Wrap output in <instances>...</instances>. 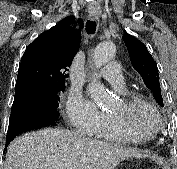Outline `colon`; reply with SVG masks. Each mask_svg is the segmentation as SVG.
<instances>
[{
  "mask_svg": "<svg viewBox=\"0 0 177 169\" xmlns=\"http://www.w3.org/2000/svg\"><path fill=\"white\" fill-rule=\"evenodd\" d=\"M155 169H165L164 167H157V168H155Z\"/></svg>",
  "mask_w": 177,
  "mask_h": 169,
  "instance_id": "obj_1",
  "label": "colon"
}]
</instances>
